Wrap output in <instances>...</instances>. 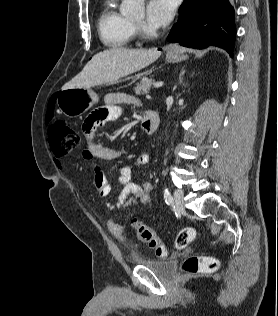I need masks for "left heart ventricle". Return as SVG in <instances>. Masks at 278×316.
<instances>
[{"mask_svg": "<svg viewBox=\"0 0 278 316\" xmlns=\"http://www.w3.org/2000/svg\"><path fill=\"white\" fill-rule=\"evenodd\" d=\"M137 21H141V18L137 19Z\"/></svg>", "mask_w": 278, "mask_h": 316, "instance_id": "1", "label": "left heart ventricle"}]
</instances>
